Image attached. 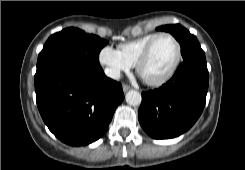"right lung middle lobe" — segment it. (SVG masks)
Masks as SVG:
<instances>
[{
  "instance_id": "obj_1",
  "label": "right lung middle lobe",
  "mask_w": 245,
  "mask_h": 170,
  "mask_svg": "<svg viewBox=\"0 0 245 170\" xmlns=\"http://www.w3.org/2000/svg\"><path fill=\"white\" fill-rule=\"evenodd\" d=\"M108 42L78 28H67L46 41L38 56L35 82L69 64L100 66L98 55Z\"/></svg>"
}]
</instances>
